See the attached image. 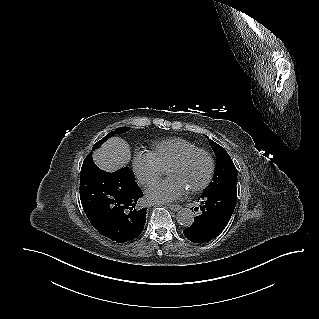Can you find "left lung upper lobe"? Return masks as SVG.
<instances>
[{
	"instance_id": "obj_1",
	"label": "left lung upper lobe",
	"mask_w": 319,
	"mask_h": 319,
	"mask_svg": "<svg viewBox=\"0 0 319 319\" xmlns=\"http://www.w3.org/2000/svg\"><path fill=\"white\" fill-rule=\"evenodd\" d=\"M216 157L217 165L214 173L213 181L209 184L208 188L203 193L214 192L217 190L225 189L237 185V169L226 150L219 144L209 139Z\"/></svg>"
}]
</instances>
